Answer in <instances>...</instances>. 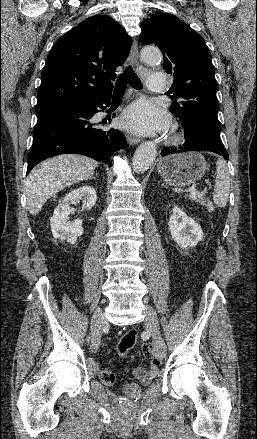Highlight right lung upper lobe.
I'll return each instance as SVG.
<instances>
[{
  "label": "right lung upper lobe",
  "mask_w": 257,
  "mask_h": 439,
  "mask_svg": "<svg viewBox=\"0 0 257 439\" xmlns=\"http://www.w3.org/2000/svg\"><path fill=\"white\" fill-rule=\"evenodd\" d=\"M130 47L125 29L107 15L89 17L61 36L41 75L37 116L110 96L115 69L127 59Z\"/></svg>",
  "instance_id": "right-lung-upper-lobe-1"
}]
</instances>
